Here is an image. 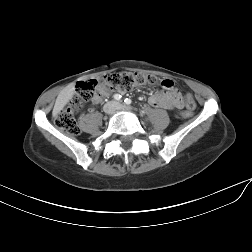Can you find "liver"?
Wrapping results in <instances>:
<instances>
[{"label": "liver", "instance_id": "6515ba94", "mask_svg": "<svg viewBox=\"0 0 252 252\" xmlns=\"http://www.w3.org/2000/svg\"><path fill=\"white\" fill-rule=\"evenodd\" d=\"M75 93V84L71 83L66 86L57 96L54 108L53 115L56 116L64 108V106L69 102Z\"/></svg>", "mask_w": 252, "mask_h": 252}]
</instances>
